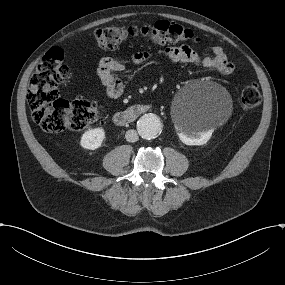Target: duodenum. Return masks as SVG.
Listing matches in <instances>:
<instances>
[{"mask_svg": "<svg viewBox=\"0 0 285 285\" xmlns=\"http://www.w3.org/2000/svg\"><path fill=\"white\" fill-rule=\"evenodd\" d=\"M151 108L148 104H133L127 109L116 112L113 121L118 126H127L137 120L144 112Z\"/></svg>", "mask_w": 285, "mask_h": 285, "instance_id": "1", "label": "duodenum"}]
</instances>
